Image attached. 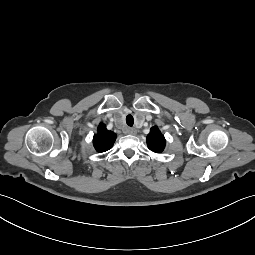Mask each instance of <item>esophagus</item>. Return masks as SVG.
<instances>
[{"mask_svg":"<svg viewBox=\"0 0 255 255\" xmlns=\"http://www.w3.org/2000/svg\"><path fill=\"white\" fill-rule=\"evenodd\" d=\"M127 133L131 135H135L137 133V130L135 128H128Z\"/></svg>","mask_w":255,"mask_h":255,"instance_id":"obj_1","label":"esophagus"}]
</instances>
